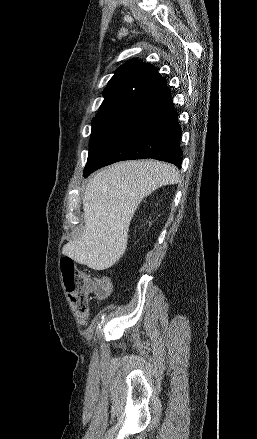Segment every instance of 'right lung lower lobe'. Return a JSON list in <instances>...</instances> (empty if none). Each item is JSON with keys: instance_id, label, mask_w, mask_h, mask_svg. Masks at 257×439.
Returning a JSON list of instances; mask_svg holds the SVG:
<instances>
[{"instance_id": "1", "label": "right lung lower lobe", "mask_w": 257, "mask_h": 439, "mask_svg": "<svg viewBox=\"0 0 257 439\" xmlns=\"http://www.w3.org/2000/svg\"><path fill=\"white\" fill-rule=\"evenodd\" d=\"M181 130L170 95L127 119L87 162L84 177L117 161L153 158L181 168Z\"/></svg>"}]
</instances>
